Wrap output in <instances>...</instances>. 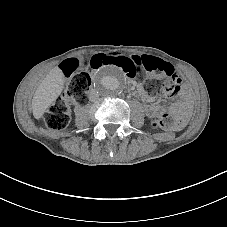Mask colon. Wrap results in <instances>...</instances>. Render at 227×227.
I'll return each mask as SVG.
<instances>
[{
	"instance_id": "obj_1",
	"label": "colon",
	"mask_w": 227,
	"mask_h": 227,
	"mask_svg": "<svg viewBox=\"0 0 227 227\" xmlns=\"http://www.w3.org/2000/svg\"><path fill=\"white\" fill-rule=\"evenodd\" d=\"M114 65L128 77H135L146 72L150 77L145 82V91L154 94L160 91L176 94L181 87V80L173 66L164 60L149 56H128L122 53L98 54L86 60L82 67L76 59H69L62 64V72L67 79L63 95L59 97L45 112L44 122L53 130H61L70 122V102L85 104L88 98L90 77L84 69L97 68L102 65ZM175 119L163 114L153 121V126L162 130H170Z\"/></svg>"
}]
</instances>
